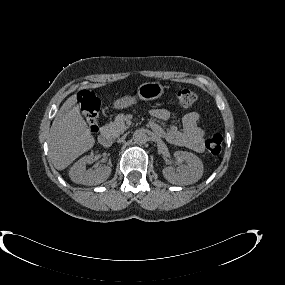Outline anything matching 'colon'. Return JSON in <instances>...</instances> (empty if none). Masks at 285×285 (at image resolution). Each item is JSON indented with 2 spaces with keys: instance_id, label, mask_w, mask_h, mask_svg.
<instances>
[{
  "instance_id": "1",
  "label": "colon",
  "mask_w": 285,
  "mask_h": 285,
  "mask_svg": "<svg viewBox=\"0 0 285 285\" xmlns=\"http://www.w3.org/2000/svg\"><path fill=\"white\" fill-rule=\"evenodd\" d=\"M178 103L183 107L194 105L198 100V94L189 88H180L175 91ZM78 101L83 115L91 132L95 133L99 129L98 112L100 108L99 99L90 91H82L78 95ZM222 136L214 134L206 141V148L211 154H218L222 149Z\"/></svg>"
}]
</instances>
